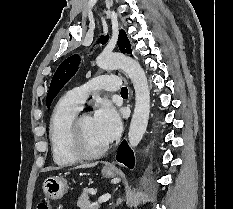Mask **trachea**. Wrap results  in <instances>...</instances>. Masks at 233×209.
Masks as SVG:
<instances>
[{
	"label": "trachea",
	"instance_id": "obj_1",
	"mask_svg": "<svg viewBox=\"0 0 233 209\" xmlns=\"http://www.w3.org/2000/svg\"><path fill=\"white\" fill-rule=\"evenodd\" d=\"M121 95H128V89H127V87H122L121 88Z\"/></svg>",
	"mask_w": 233,
	"mask_h": 209
}]
</instances>
